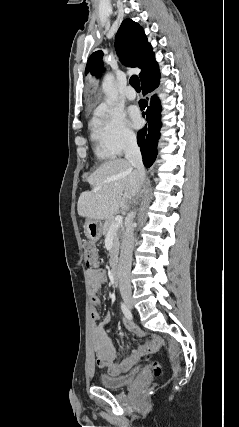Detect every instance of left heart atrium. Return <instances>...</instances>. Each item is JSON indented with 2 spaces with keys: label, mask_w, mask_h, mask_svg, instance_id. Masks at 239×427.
<instances>
[{
  "label": "left heart atrium",
  "mask_w": 239,
  "mask_h": 427,
  "mask_svg": "<svg viewBox=\"0 0 239 427\" xmlns=\"http://www.w3.org/2000/svg\"><path fill=\"white\" fill-rule=\"evenodd\" d=\"M130 123L134 128H139L142 124V118L139 110L136 107L129 109Z\"/></svg>",
  "instance_id": "39dd6f15"
}]
</instances>
